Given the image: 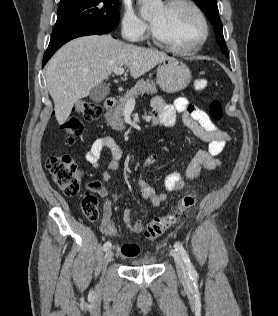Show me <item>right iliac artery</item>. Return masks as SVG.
I'll use <instances>...</instances> for the list:
<instances>
[{
	"label": "right iliac artery",
	"mask_w": 278,
	"mask_h": 316,
	"mask_svg": "<svg viewBox=\"0 0 278 316\" xmlns=\"http://www.w3.org/2000/svg\"><path fill=\"white\" fill-rule=\"evenodd\" d=\"M109 248H111V242L110 241H107L104 246H103V249L104 251L108 250Z\"/></svg>",
	"instance_id": "1"
}]
</instances>
